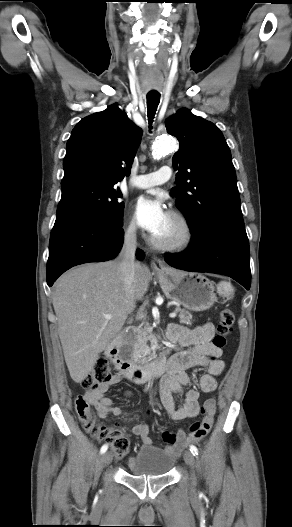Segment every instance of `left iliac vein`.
Segmentation results:
<instances>
[{"instance_id":"4c4485c4","label":"left iliac vein","mask_w":292,"mask_h":527,"mask_svg":"<svg viewBox=\"0 0 292 527\" xmlns=\"http://www.w3.org/2000/svg\"><path fill=\"white\" fill-rule=\"evenodd\" d=\"M183 458H184V461L186 462V464L192 469H194V464H195V458H194V455L190 452V451H185L184 452V455H183ZM195 483H196V478H195V475L194 473L192 474V478H191V488H194L195 486Z\"/></svg>"}]
</instances>
